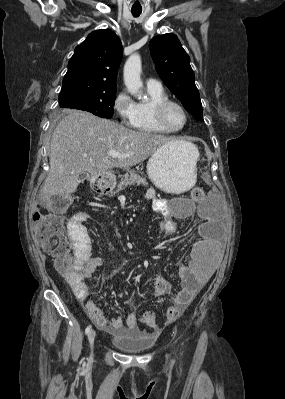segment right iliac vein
<instances>
[{
    "mask_svg": "<svg viewBox=\"0 0 285 399\" xmlns=\"http://www.w3.org/2000/svg\"><path fill=\"white\" fill-rule=\"evenodd\" d=\"M95 330L94 329H90L89 333H88V341H89V345H90V357L93 356V349H94V341H95Z\"/></svg>",
    "mask_w": 285,
    "mask_h": 399,
    "instance_id": "1",
    "label": "right iliac vein"
}]
</instances>
